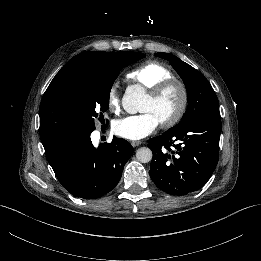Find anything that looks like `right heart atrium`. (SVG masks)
I'll list each match as a JSON object with an SVG mask.
<instances>
[{
  "label": "right heart atrium",
  "mask_w": 261,
  "mask_h": 261,
  "mask_svg": "<svg viewBox=\"0 0 261 261\" xmlns=\"http://www.w3.org/2000/svg\"><path fill=\"white\" fill-rule=\"evenodd\" d=\"M121 106L120 97L117 93V89L115 86L110 88L107 94V107L115 112H118Z\"/></svg>",
  "instance_id": "1"
}]
</instances>
